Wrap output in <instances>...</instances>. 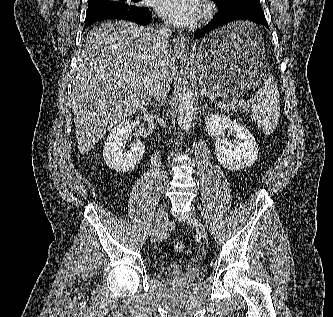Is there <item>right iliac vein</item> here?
Segmentation results:
<instances>
[{"label":"right iliac vein","mask_w":333,"mask_h":317,"mask_svg":"<svg viewBox=\"0 0 333 317\" xmlns=\"http://www.w3.org/2000/svg\"><path fill=\"white\" fill-rule=\"evenodd\" d=\"M168 230V217L164 208H160L158 211V221L156 227L151 235V241L155 242L162 239Z\"/></svg>","instance_id":"1"}]
</instances>
